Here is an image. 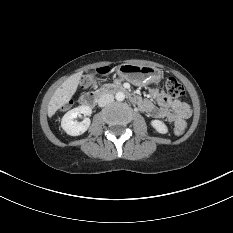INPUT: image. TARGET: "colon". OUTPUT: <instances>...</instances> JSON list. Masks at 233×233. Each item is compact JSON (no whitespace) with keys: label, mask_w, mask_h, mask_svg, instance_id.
Instances as JSON below:
<instances>
[{"label":"colon","mask_w":233,"mask_h":233,"mask_svg":"<svg viewBox=\"0 0 233 233\" xmlns=\"http://www.w3.org/2000/svg\"><path fill=\"white\" fill-rule=\"evenodd\" d=\"M108 71H109V69L106 67L99 68L97 70V74L98 75H105L108 73ZM94 84H95V75H93V74L85 76L82 80V86L84 88L92 87ZM166 91H167V94L173 98L181 97L185 94L184 87L174 77H170L166 81ZM174 132L176 135H181L184 132V129L177 126L174 128Z\"/></svg>","instance_id":"5ec220e1"}]
</instances>
